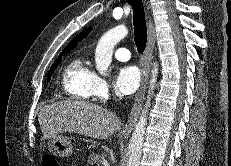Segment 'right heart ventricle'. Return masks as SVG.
Here are the masks:
<instances>
[{"instance_id":"e07e8e85","label":"right heart ventricle","mask_w":231,"mask_h":166,"mask_svg":"<svg viewBox=\"0 0 231 166\" xmlns=\"http://www.w3.org/2000/svg\"><path fill=\"white\" fill-rule=\"evenodd\" d=\"M95 73L89 67L84 56L73 58L62 73V87L72 99L90 100Z\"/></svg>"}]
</instances>
